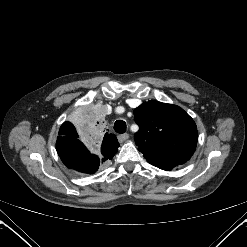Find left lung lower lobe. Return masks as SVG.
Returning <instances> with one entry per match:
<instances>
[{
	"mask_svg": "<svg viewBox=\"0 0 247 247\" xmlns=\"http://www.w3.org/2000/svg\"><path fill=\"white\" fill-rule=\"evenodd\" d=\"M162 170L170 171L171 169L175 168L176 166L171 165H154Z\"/></svg>",
	"mask_w": 247,
	"mask_h": 247,
	"instance_id": "left-lung-lower-lobe-1",
	"label": "left lung lower lobe"
}]
</instances>
